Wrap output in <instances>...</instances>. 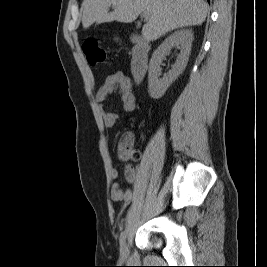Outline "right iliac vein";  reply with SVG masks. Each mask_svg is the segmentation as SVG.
<instances>
[{
	"label": "right iliac vein",
	"instance_id": "1",
	"mask_svg": "<svg viewBox=\"0 0 267 267\" xmlns=\"http://www.w3.org/2000/svg\"><path fill=\"white\" fill-rule=\"evenodd\" d=\"M128 257V244L126 241H123L120 246V258L125 261Z\"/></svg>",
	"mask_w": 267,
	"mask_h": 267
}]
</instances>
